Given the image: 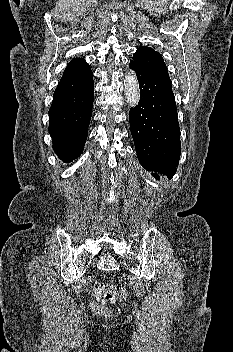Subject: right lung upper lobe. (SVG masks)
Masks as SVG:
<instances>
[{
  "mask_svg": "<svg viewBox=\"0 0 233 352\" xmlns=\"http://www.w3.org/2000/svg\"><path fill=\"white\" fill-rule=\"evenodd\" d=\"M90 67L82 58L73 59L66 67L61 80L69 79L75 76H78L85 71H87Z\"/></svg>",
  "mask_w": 233,
  "mask_h": 352,
  "instance_id": "cb5924a9",
  "label": "right lung upper lobe"
}]
</instances>
